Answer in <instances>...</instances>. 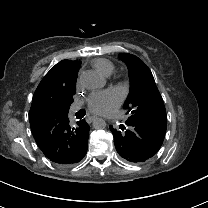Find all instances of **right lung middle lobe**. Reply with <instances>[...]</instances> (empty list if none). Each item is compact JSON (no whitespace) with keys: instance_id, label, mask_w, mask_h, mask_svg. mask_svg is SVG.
Instances as JSON below:
<instances>
[{"instance_id":"right-lung-middle-lobe-1","label":"right lung middle lobe","mask_w":208,"mask_h":208,"mask_svg":"<svg viewBox=\"0 0 208 208\" xmlns=\"http://www.w3.org/2000/svg\"><path fill=\"white\" fill-rule=\"evenodd\" d=\"M75 87L71 90L65 91L59 98L48 101L47 106L43 109L46 113H63L67 114L69 107L73 102V95L75 94Z\"/></svg>"}]
</instances>
